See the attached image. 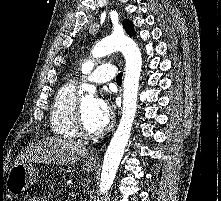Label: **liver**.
Wrapping results in <instances>:
<instances>
[{
  "mask_svg": "<svg viewBox=\"0 0 221 201\" xmlns=\"http://www.w3.org/2000/svg\"><path fill=\"white\" fill-rule=\"evenodd\" d=\"M88 154L81 143L59 136H48L31 144L18 155L16 162H39L44 164L67 165Z\"/></svg>",
  "mask_w": 221,
  "mask_h": 201,
  "instance_id": "obj_1",
  "label": "liver"
}]
</instances>
